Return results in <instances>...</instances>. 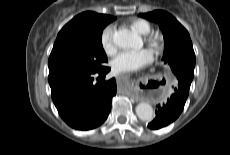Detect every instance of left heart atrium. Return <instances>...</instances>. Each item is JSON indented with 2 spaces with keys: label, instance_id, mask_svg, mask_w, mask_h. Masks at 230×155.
Returning <instances> with one entry per match:
<instances>
[{
  "label": "left heart atrium",
  "instance_id": "obj_1",
  "mask_svg": "<svg viewBox=\"0 0 230 155\" xmlns=\"http://www.w3.org/2000/svg\"><path fill=\"white\" fill-rule=\"evenodd\" d=\"M153 60V53L149 49L139 51H123L111 61V67L116 73H127L137 71Z\"/></svg>",
  "mask_w": 230,
  "mask_h": 155
}]
</instances>
